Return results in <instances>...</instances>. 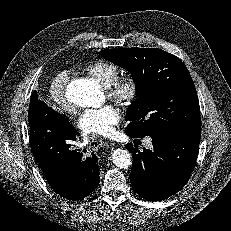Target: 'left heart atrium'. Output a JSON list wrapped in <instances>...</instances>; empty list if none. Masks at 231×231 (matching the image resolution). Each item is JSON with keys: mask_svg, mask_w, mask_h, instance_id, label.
<instances>
[{"mask_svg": "<svg viewBox=\"0 0 231 231\" xmlns=\"http://www.w3.org/2000/svg\"><path fill=\"white\" fill-rule=\"evenodd\" d=\"M120 119L119 108L113 104H107L84 113L79 119V127L86 134L109 136Z\"/></svg>", "mask_w": 231, "mask_h": 231, "instance_id": "1", "label": "left heart atrium"}]
</instances>
